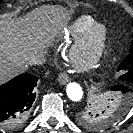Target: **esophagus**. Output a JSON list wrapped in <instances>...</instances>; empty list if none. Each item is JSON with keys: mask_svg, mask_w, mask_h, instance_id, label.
<instances>
[{"mask_svg": "<svg viewBox=\"0 0 133 133\" xmlns=\"http://www.w3.org/2000/svg\"><path fill=\"white\" fill-rule=\"evenodd\" d=\"M69 76L65 73V72H63V73H60V75H59V77H58V82H59V84H61V85H65L66 83H68L69 82Z\"/></svg>", "mask_w": 133, "mask_h": 133, "instance_id": "esophagus-1", "label": "esophagus"}]
</instances>
